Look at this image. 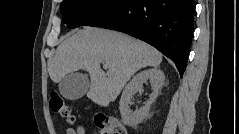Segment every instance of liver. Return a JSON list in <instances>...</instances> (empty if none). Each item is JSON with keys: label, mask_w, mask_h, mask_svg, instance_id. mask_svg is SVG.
<instances>
[{"label": "liver", "mask_w": 239, "mask_h": 134, "mask_svg": "<svg viewBox=\"0 0 239 134\" xmlns=\"http://www.w3.org/2000/svg\"><path fill=\"white\" fill-rule=\"evenodd\" d=\"M162 62V54L149 44L126 34L87 27L66 38L48 64L51 80L59 83L66 75L85 70L90 75L87 97L107 107L139 69ZM103 64L104 69L100 68Z\"/></svg>", "instance_id": "obj_1"}]
</instances>
